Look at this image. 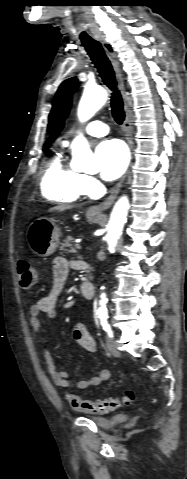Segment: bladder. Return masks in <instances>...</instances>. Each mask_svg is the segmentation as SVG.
<instances>
[{"label": "bladder", "mask_w": 187, "mask_h": 479, "mask_svg": "<svg viewBox=\"0 0 187 479\" xmlns=\"http://www.w3.org/2000/svg\"><path fill=\"white\" fill-rule=\"evenodd\" d=\"M96 425L101 429H110L116 424V419L114 417H99V416H88Z\"/></svg>", "instance_id": "1"}]
</instances>
